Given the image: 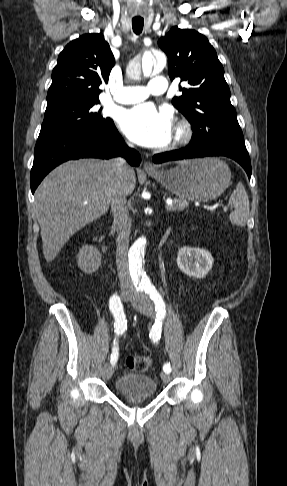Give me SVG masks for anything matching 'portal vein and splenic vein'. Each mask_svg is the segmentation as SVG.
<instances>
[{
    "mask_svg": "<svg viewBox=\"0 0 287 486\" xmlns=\"http://www.w3.org/2000/svg\"><path fill=\"white\" fill-rule=\"evenodd\" d=\"M173 205V201L172 200H167L166 201V207H171Z\"/></svg>",
    "mask_w": 287,
    "mask_h": 486,
    "instance_id": "1",
    "label": "portal vein and splenic vein"
}]
</instances>
